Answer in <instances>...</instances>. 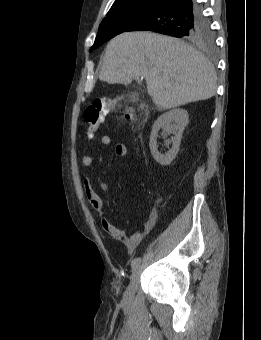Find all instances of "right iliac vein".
I'll return each mask as SVG.
<instances>
[{"mask_svg": "<svg viewBox=\"0 0 261 340\" xmlns=\"http://www.w3.org/2000/svg\"><path fill=\"white\" fill-rule=\"evenodd\" d=\"M142 269V264H139L132 272L131 275V279H130V283L124 293V297L123 300L124 302H129L132 298L133 295L135 293L136 287H137V282H138V278L140 275Z\"/></svg>", "mask_w": 261, "mask_h": 340, "instance_id": "63e3f726", "label": "right iliac vein"}]
</instances>
